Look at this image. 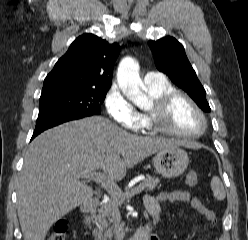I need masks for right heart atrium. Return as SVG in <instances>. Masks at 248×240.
<instances>
[{
  "instance_id": "d8ad5b80",
  "label": "right heart atrium",
  "mask_w": 248,
  "mask_h": 240,
  "mask_svg": "<svg viewBox=\"0 0 248 240\" xmlns=\"http://www.w3.org/2000/svg\"><path fill=\"white\" fill-rule=\"evenodd\" d=\"M105 107L109 116L128 130L138 131L142 127L140 113L123 95L117 85H112L105 97Z\"/></svg>"
}]
</instances>
